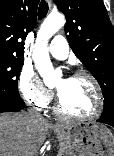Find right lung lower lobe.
<instances>
[{
  "mask_svg": "<svg viewBox=\"0 0 114 156\" xmlns=\"http://www.w3.org/2000/svg\"><path fill=\"white\" fill-rule=\"evenodd\" d=\"M24 105H25L24 103L14 104L8 102H0V113L10 111H20L24 107Z\"/></svg>",
  "mask_w": 114,
  "mask_h": 156,
  "instance_id": "98d812e1",
  "label": "right lung lower lobe"
}]
</instances>
